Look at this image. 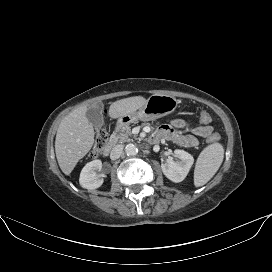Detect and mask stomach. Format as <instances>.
I'll return each mask as SVG.
<instances>
[{"instance_id":"0dacf381","label":"stomach","mask_w":272,"mask_h":272,"mask_svg":"<svg viewBox=\"0 0 272 272\" xmlns=\"http://www.w3.org/2000/svg\"><path fill=\"white\" fill-rule=\"evenodd\" d=\"M178 105V100L170 95H151L144 106L137 111L126 114L119 118V125H129L138 120L151 121L172 113Z\"/></svg>"}]
</instances>
